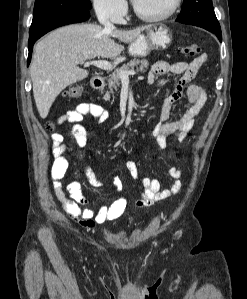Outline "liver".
<instances>
[{
    "label": "liver",
    "instance_id": "6515ba94",
    "mask_svg": "<svg viewBox=\"0 0 247 299\" xmlns=\"http://www.w3.org/2000/svg\"><path fill=\"white\" fill-rule=\"evenodd\" d=\"M151 25L133 30H105L92 23L71 24L55 29L35 46L30 75L33 95L41 118L45 119L56 97L69 85L87 78L89 72L78 67L86 60L116 58Z\"/></svg>",
    "mask_w": 247,
    "mask_h": 299
}]
</instances>
